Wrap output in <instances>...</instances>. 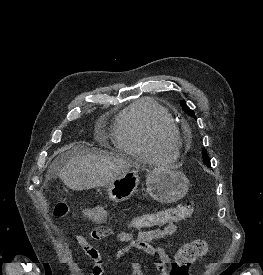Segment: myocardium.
Listing matches in <instances>:
<instances>
[{
  "instance_id": "f54148a6",
  "label": "myocardium",
  "mask_w": 263,
  "mask_h": 275,
  "mask_svg": "<svg viewBox=\"0 0 263 275\" xmlns=\"http://www.w3.org/2000/svg\"><path fill=\"white\" fill-rule=\"evenodd\" d=\"M155 139L164 145H175L178 147L180 136L175 128H158L154 131Z\"/></svg>"
}]
</instances>
